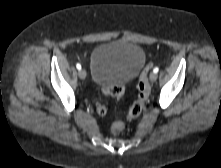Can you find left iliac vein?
<instances>
[{
	"label": "left iliac vein",
	"instance_id": "4c4485c4",
	"mask_svg": "<svg viewBox=\"0 0 221 168\" xmlns=\"http://www.w3.org/2000/svg\"><path fill=\"white\" fill-rule=\"evenodd\" d=\"M156 80H157V73L152 72V73L150 74V81H151V82H154V81H156Z\"/></svg>",
	"mask_w": 221,
	"mask_h": 168
}]
</instances>
